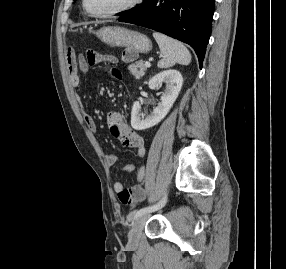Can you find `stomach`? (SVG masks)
I'll return each instance as SVG.
<instances>
[{"label":"stomach","instance_id":"stomach-1","mask_svg":"<svg viewBox=\"0 0 286 269\" xmlns=\"http://www.w3.org/2000/svg\"><path fill=\"white\" fill-rule=\"evenodd\" d=\"M96 35L110 46L138 49V53H147L152 49V43L147 36L126 28L103 27L96 32Z\"/></svg>","mask_w":286,"mask_h":269}]
</instances>
